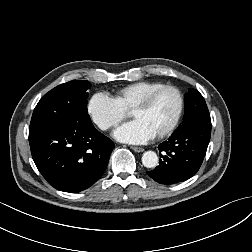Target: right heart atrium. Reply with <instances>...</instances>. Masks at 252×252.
Masks as SVG:
<instances>
[{"mask_svg": "<svg viewBox=\"0 0 252 252\" xmlns=\"http://www.w3.org/2000/svg\"><path fill=\"white\" fill-rule=\"evenodd\" d=\"M87 113L92 122L101 130L116 127L127 115L111 96L102 92L94 93L88 100Z\"/></svg>", "mask_w": 252, "mask_h": 252, "instance_id": "obj_1", "label": "right heart atrium"}]
</instances>
